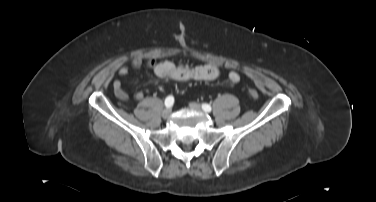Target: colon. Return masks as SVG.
<instances>
[{"mask_svg":"<svg viewBox=\"0 0 376 202\" xmlns=\"http://www.w3.org/2000/svg\"><path fill=\"white\" fill-rule=\"evenodd\" d=\"M248 93H249L250 97H252V98L258 97V92L255 89H249Z\"/></svg>","mask_w":376,"mask_h":202,"instance_id":"1","label":"colon"}]
</instances>
